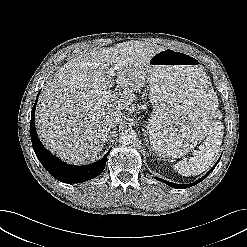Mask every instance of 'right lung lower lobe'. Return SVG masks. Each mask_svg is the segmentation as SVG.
Instances as JSON below:
<instances>
[{
	"instance_id": "98d812e1",
	"label": "right lung lower lobe",
	"mask_w": 247,
	"mask_h": 247,
	"mask_svg": "<svg viewBox=\"0 0 247 247\" xmlns=\"http://www.w3.org/2000/svg\"><path fill=\"white\" fill-rule=\"evenodd\" d=\"M39 96V94H38ZM36 98L35 104L32 108L31 113V141L35 154L44 168L57 180L64 183H81L90 180L102 173L106 166L107 156L110 150L105 156L98 162L85 165V166H74L69 165L58 158L54 157L40 142L36 129H35V108L38 101Z\"/></svg>"
}]
</instances>
